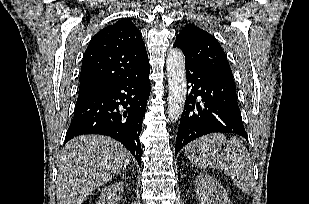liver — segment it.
I'll return each instance as SVG.
<instances>
[{"mask_svg": "<svg viewBox=\"0 0 309 204\" xmlns=\"http://www.w3.org/2000/svg\"><path fill=\"white\" fill-rule=\"evenodd\" d=\"M130 161L129 151L109 137L83 135L72 139L59 154L57 204H82Z\"/></svg>", "mask_w": 309, "mask_h": 204, "instance_id": "liver-1", "label": "liver"}]
</instances>
